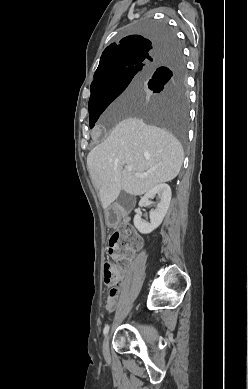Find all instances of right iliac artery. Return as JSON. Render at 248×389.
I'll use <instances>...</instances> for the list:
<instances>
[{
  "instance_id": "82829eb1",
  "label": "right iliac artery",
  "mask_w": 248,
  "mask_h": 389,
  "mask_svg": "<svg viewBox=\"0 0 248 389\" xmlns=\"http://www.w3.org/2000/svg\"><path fill=\"white\" fill-rule=\"evenodd\" d=\"M108 332H109V326L106 325L104 330H103V333H104V335H107Z\"/></svg>"
}]
</instances>
